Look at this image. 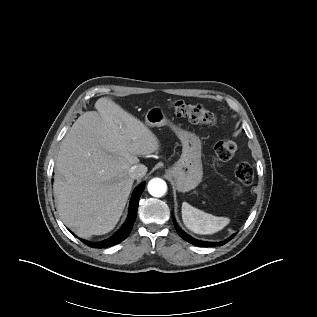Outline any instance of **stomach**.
Returning a JSON list of instances; mask_svg holds the SVG:
<instances>
[{
	"mask_svg": "<svg viewBox=\"0 0 317 317\" xmlns=\"http://www.w3.org/2000/svg\"><path fill=\"white\" fill-rule=\"evenodd\" d=\"M145 122L149 127H161L170 124L160 106H154L147 111ZM170 126L182 143V154L180 159L167 170V174L173 178L176 189L185 193L196 188L203 177L201 141L191 131L172 124Z\"/></svg>",
	"mask_w": 317,
	"mask_h": 317,
	"instance_id": "1",
	"label": "stomach"
}]
</instances>
